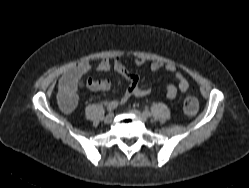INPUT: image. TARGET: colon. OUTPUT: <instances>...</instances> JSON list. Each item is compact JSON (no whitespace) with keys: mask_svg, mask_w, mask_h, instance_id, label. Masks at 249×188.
<instances>
[{"mask_svg":"<svg viewBox=\"0 0 249 188\" xmlns=\"http://www.w3.org/2000/svg\"><path fill=\"white\" fill-rule=\"evenodd\" d=\"M59 101L70 111L75 108L76 99L71 92H59ZM183 111L186 116H194L198 111V100L192 95H187L183 101Z\"/></svg>","mask_w":249,"mask_h":188,"instance_id":"1","label":"colon"}]
</instances>
